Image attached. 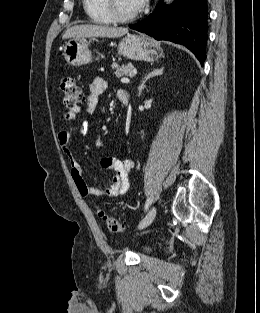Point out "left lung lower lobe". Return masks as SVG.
Masks as SVG:
<instances>
[{
	"label": "left lung lower lobe",
	"instance_id": "0a47b994",
	"mask_svg": "<svg viewBox=\"0 0 260 313\" xmlns=\"http://www.w3.org/2000/svg\"><path fill=\"white\" fill-rule=\"evenodd\" d=\"M166 7L161 0L152 14L130 28L186 46L203 65L208 39L207 0H175L168 10Z\"/></svg>",
	"mask_w": 260,
	"mask_h": 313
}]
</instances>
